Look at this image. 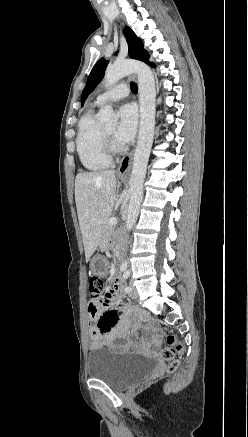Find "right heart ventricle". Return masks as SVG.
I'll use <instances>...</instances> for the list:
<instances>
[{
    "mask_svg": "<svg viewBox=\"0 0 248 437\" xmlns=\"http://www.w3.org/2000/svg\"><path fill=\"white\" fill-rule=\"evenodd\" d=\"M77 153L83 167L89 171H100L111 163L104 147L103 130L93 111L82 116L76 138Z\"/></svg>",
    "mask_w": 248,
    "mask_h": 437,
    "instance_id": "e07e8e85",
    "label": "right heart ventricle"
}]
</instances>
